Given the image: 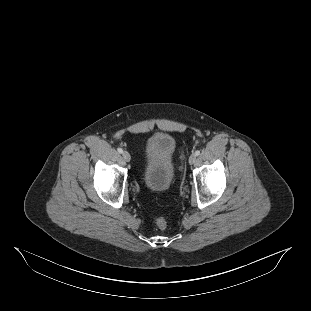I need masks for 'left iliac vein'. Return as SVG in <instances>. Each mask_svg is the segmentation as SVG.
Instances as JSON below:
<instances>
[{
  "label": "left iliac vein",
  "instance_id": "left-iliac-vein-1",
  "mask_svg": "<svg viewBox=\"0 0 311 311\" xmlns=\"http://www.w3.org/2000/svg\"><path fill=\"white\" fill-rule=\"evenodd\" d=\"M196 161V155L195 154H192L190 157H189V163L190 164H194Z\"/></svg>",
  "mask_w": 311,
  "mask_h": 311
}]
</instances>
